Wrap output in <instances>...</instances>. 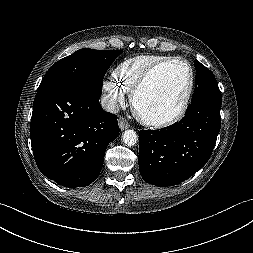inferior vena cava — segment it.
I'll list each match as a JSON object with an SVG mask.
<instances>
[{"label":"inferior vena cava","instance_id":"602c4592","mask_svg":"<svg viewBox=\"0 0 253 253\" xmlns=\"http://www.w3.org/2000/svg\"><path fill=\"white\" fill-rule=\"evenodd\" d=\"M101 106L104 110L111 113H118L120 110V106L115 98L110 95L104 94L101 97Z\"/></svg>","mask_w":253,"mask_h":253}]
</instances>
